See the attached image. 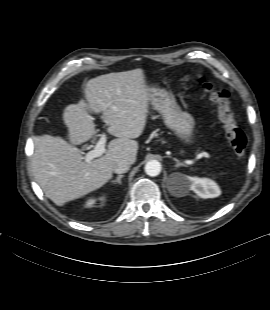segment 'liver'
<instances>
[{
    "label": "liver",
    "mask_w": 270,
    "mask_h": 310,
    "mask_svg": "<svg viewBox=\"0 0 270 310\" xmlns=\"http://www.w3.org/2000/svg\"><path fill=\"white\" fill-rule=\"evenodd\" d=\"M87 103L81 100L63 111L68 127V143L61 137H33L32 170L46 197L56 205L80 198L106 184L112 178V166L118 160L135 163L138 138L147 122L150 89L144 70L109 73L90 79L85 87ZM102 112L108 133L117 137L108 144L106 154L86 162L76 147L96 133L93 118L86 111Z\"/></svg>",
    "instance_id": "1"
}]
</instances>
